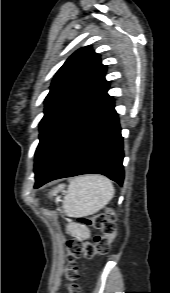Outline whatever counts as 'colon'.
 <instances>
[{
  "label": "colon",
  "mask_w": 170,
  "mask_h": 293,
  "mask_svg": "<svg viewBox=\"0 0 170 293\" xmlns=\"http://www.w3.org/2000/svg\"><path fill=\"white\" fill-rule=\"evenodd\" d=\"M82 221L99 228L102 234L95 237L93 241H67L68 265L66 268V278L70 283H73L79 277L77 265L75 263L76 260L92 259L96 255L106 254L117 233L115 214L110 209L89 218H82ZM71 292H77L75 286L71 287Z\"/></svg>",
  "instance_id": "obj_1"
}]
</instances>
